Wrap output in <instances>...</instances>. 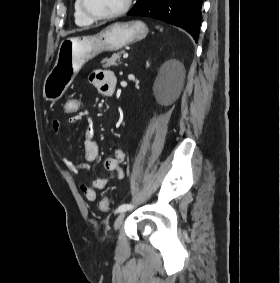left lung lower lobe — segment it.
<instances>
[{
	"instance_id": "left-lung-lower-lobe-1",
	"label": "left lung lower lobe",
	"mask_w": 280,
	"mask_h": 283,
	"mask_svg": "<svg viewBox=\"0 0 280 283\" xmlns=\"http://www.w3.org/2000/svg\"><path fill=\"white\" fill-rule=\"evenodd\" d=\"M203 0H137L127 13L163 20L186 30L197 42Z\"/></svg>"
}]
</instances>
